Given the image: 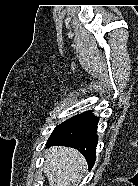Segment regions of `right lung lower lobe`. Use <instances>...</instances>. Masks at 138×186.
Listing matches in <instances>:
<instances>
[{
    "label": "right lung lower lobe",
    "mask_w": 138,
    "mask_h": 186,
    "mask_svg": "<svg viewBox=\"0 0 138 186\" xmlns=\"http://www.w3.org/2000/svg\"><path fill=\"white\" fill-rule=\"evenodd\" d=\"M98 118L87 111L58 125L47 141V146L62 145L79 150L86 158L89 169L96 160Z\"/></svg>",
    "instance_id": "obj_1"
}]
</instances>
